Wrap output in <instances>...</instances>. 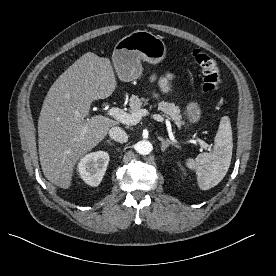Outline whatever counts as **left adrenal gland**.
I'll return each mask as SVG.
<instances>
[{"label": "left adrenal gland", "mask_w": 276, "mask_h": 276, "mask_svg": "<svg viewBox=\"0 0 276 276\" xmlns=\"http://www.w3.org/2000/svg\"><path fill=\"white\" fill-rule=\"evenodd\" d=\"M158 139L161 141V144H162V146H161L162 152H164L168 148L169 145L179 148V146L177 144L170 141L169 139H164L163 137H160V136L158 137Z\"/></svg>", "instance_id": "1"}]
</instances>
